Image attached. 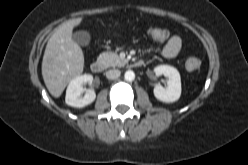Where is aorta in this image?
I'll list each match as a JSON object with an SVG mask.
<instances>
[{
    "instance_id": "obj_1",
    "label": "aorta",
    "mask_w": 248,
    "mask_h": 165,
    "mask_svg": "<svg viewBox=\"0 0 248 165\" xmlns=\"http://www.w3.org/2000/svg\"><path fill=\"white\" fill-rule=\"evenodd\" d=\"M124 78L126 81H133L135 78V73L131 70L125 72Z\"/></svg>"
}]
</instances>
